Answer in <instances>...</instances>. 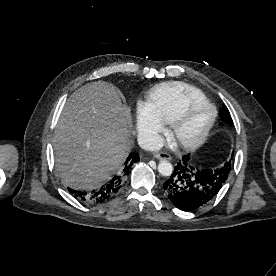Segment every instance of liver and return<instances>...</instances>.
Segmentation results:
<instances>
[{
  "label": "liver",
  "mask_w": 276,
  "mask_h": 276,
  "mask_svg": "<svg viewBox=\"0 0 276 276\" xmlns=\"http://www.w3.org/2000/svg\"><path fill=\"white\" fill-rule=\"evenodd\" d=\"M132 118L115 86L88 83L66 101L56 126V168L65 184L91 190L110 179L131 149Z\"/></svg>",
  "instance_id": "1"
}]
</instances>
